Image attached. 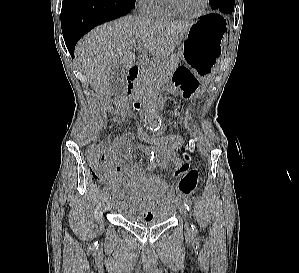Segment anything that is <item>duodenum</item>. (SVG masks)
<instances>
[{
    "label": "duodenum",
    "mask_w": 299,
    "mask_h": 273,
    "mask_svg": "<svg viewBox=\"0 0 299 273\" xmlns=\"http://www.w3.org/2000/svg\"><path fill=\"white\" fill-rule=\"evenodd\" d=\"M140 74V67L137 65H134L130 68L128 77H127V95L130 99L133 100V105L135 109H138L140 107L141 101L136 98L135 96V85L136 81Z\"/></svg>",
    "instance_id": "410a0bca"
}]
</instances>
